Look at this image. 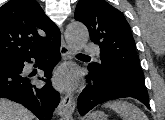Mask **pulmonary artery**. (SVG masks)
<instances>
[{
	"label": "pulmonary artery",
	"mask_w": 165,
	"mask_h": 120,
	"mask_svg": "<svg viewBox=\"0 0 165 120\" xmlns=\"http://www.w3.org/2000/svg\"><path fill=\"white\" fill-rule=\"evenodd\" d=\"M83 50H84V52L86 54H92V55L99 54V49L94 44H86V45H84Z\"/></svg>",
	"instance_id": "e3ab8cb5"
}]
</instances>
